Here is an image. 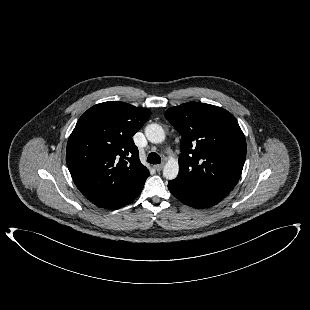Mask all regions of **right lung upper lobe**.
Instances as JSON below:
<instances>
[{"instance_id":"cb5924a9","label":"right lung upper lobe","mask_w":310,"mask_h":310,"mask_svg":"<svg viewBox=\"0 0 310 310\" xmlns=\"http://www.w3.org/2000/svg\"><path fill=\"white\" fill-rule=\"evenodd\" d=\"M151 115L147 108L104 102L78 120L66 150V162L81 193L98 207L134 198L149 176L132 137Z\"/></svg>"}]
</instances>
